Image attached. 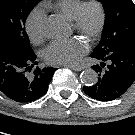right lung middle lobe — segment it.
Listing matches in <instances>:
<instances>
[{
  "instance_id": "dd1d6c3e",
  "label": "right lung middle lobe",
  "mask_w": 135,
  "mask_h": 135,
  "mask_svg": "<svg viewBox=\"0 0 135 135\" xmlns=\"http://www.w3.org/2000/svg\"><path fill=\"white\" fill-rule=\"evenodd\" d=\"M40 0H0V37L12 40L23 51L32 52L25 22Z\"/></svg>"
}]
</instances>
